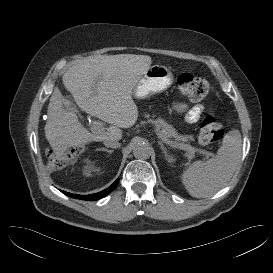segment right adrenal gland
Returning <instances> with one entry per match:
<instances>
[{
  "instance_id": "2a0ac1e0",
  "label": "right adrenal gland",
  "mask_w": 273,
  "mask_h": 273,
  "mask_svg": "<svg viewBox=\"0 0 273 273\" xmlns=\"http://www.w3.org/2000/svg\"><path fill=\"white\" fill-rule=\"evenodd\" d=\"M97 150L98 151H105V152H108L109 154H111L114 151V150H109V149L104 148V147L98 148Z\"/></svg>"
}]
</instances>
